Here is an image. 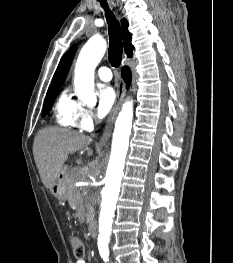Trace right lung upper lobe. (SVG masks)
I'll list each match as a JSON object with an SVG mask.
<instances>
[{"label": "right lung upper lobe", "mask_w": 233, "mask_h": 263, "mask_svg": "<svg viewBox=\"0 0 233 263\" xmlns=\"http://www.w3.org/2000/svg\"><path fill=\"white\" fill-rule=\"evenodd\" d=\"M121 25H122L125 52L128 55V57H132L134 46L131 44V33L128 31L127 20L122 19ZM76 49H77V45L72 46L70 50L62 57L56 69V72L53 76L52 85L49 87V89L62 86L63 82L66 79V75L71 66V63L73 61Z\"/></svg>", "instance_id": "cb5924a9"}]
</instances>
